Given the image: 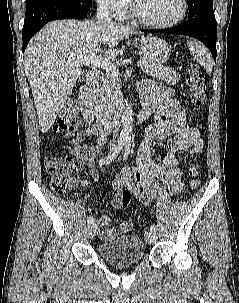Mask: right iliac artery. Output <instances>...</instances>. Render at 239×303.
Segmentation results:
<instances>
[{"label": "right iliac artery", "instance_id": "82829eb1", "mask_svg": "<svg viewBox=\"0 0 239 303\" xmlns=\"http://www.w3.org/2000/svg\"><path fill=\"white\" fill-rule=\"evenodd\" d=\"M125 145V143L123 141H118L117 144L114 147V150L112 153H110L108 156H106L104 159H102V163L104 165L109 164L110 162H112V160L120 153V151L123 149V146ZM87 222L89 224L94 223V218L93 216H89L87 219Z\"/></svg>", "mask_w": 239, "mask_h": 303}]
</instances>
